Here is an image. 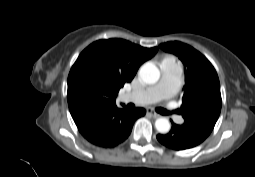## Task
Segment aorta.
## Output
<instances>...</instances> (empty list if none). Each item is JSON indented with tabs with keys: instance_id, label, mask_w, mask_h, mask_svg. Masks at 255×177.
<instances>
[{
	"instance_id": "obj_1",
	"label": "aorta",
	"mask_w": 255,
	"mask_h": 177,
	"mask_svg": "<svg viewBox=\"0 0 255 177\" xmlns=\"http://www.w3.org/2000/svg\"><path fill=\"white\" fill-rule=\"evenodd\" d=\"M140 80L145 84H154L160 78L159 69L152 63L144 64L139 70ZM155 127L160 133H168L171 128V124L168 119L161 117L155 121Z\"/></svg>"
}]
</instances>
